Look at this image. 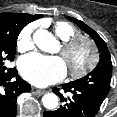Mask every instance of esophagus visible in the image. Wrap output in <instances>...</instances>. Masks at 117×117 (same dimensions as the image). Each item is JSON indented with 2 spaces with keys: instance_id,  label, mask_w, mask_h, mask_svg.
<instances>
[{
  "instance_id": "esophagus-1",
  "label": "esophagus",
  "mask_w": 117,
  "mask_h": 117,
  "mask_svg": "<svg viewBox=\"0 0 117 117\" xmlns=\"http://www.w3.org/2000/svg\"><path fill=\"white\" fill-rule=\"evenodd\" d=\"M32 90L37 95H43L44 93H46L45 90H40V89H37V88H33Z\"/></svg>"
}]
</instances>
